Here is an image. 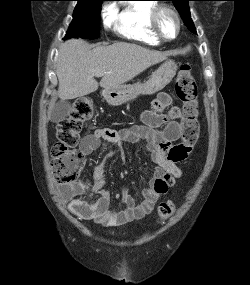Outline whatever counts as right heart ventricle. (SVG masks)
<instances>
[{
	"instance_id": "1",
	"label": "right heart ventricle",
	"mask_w": 250,
	"mask_h": 285,
	"mask_svg": "<svg viewBox=\"0 0 250 285\" xmlns=\"http://www.w3.org/2000/svg\"><path fill=\"white\" fill-rule=\"evenodd\" d=\"M157 6L150 0H135L126 4L118 14L116 30L123 38L148 46L161 42L154 37L150 28V17Z\"/></svg>"
}]
</instances>
